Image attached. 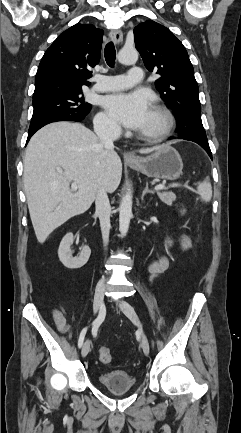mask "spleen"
Segmentation results:
<instances>
[{"instance_id": "1", "label": "spleen", "mask_w": 241, "mask_h": 433, "mask_svg": "<svg viewBox=\"0 0 241 433\" xmlns=\"http://www.w3.org/2000/svg\"><path fill=\"white\" fill-rule=\"evenodd\" d=\"M197 192L200 195L202 201L209 202L212 197V186L209 182V177H206L203 182L197 186Z\"/></svg>"}]
</instances>
